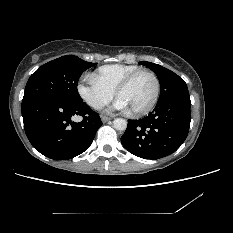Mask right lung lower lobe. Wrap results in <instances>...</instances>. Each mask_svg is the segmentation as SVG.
Listing matches in <instances>:
<instances>
[{
    "label": "right lung lower lobe",
    "mask_w": 233,
    "mask_h": 233,
    "mask_svg": "<svg viewBox=\"0 0 233 233\" xmlns=\"http://www.w3.org/2000/svg\"><path fill=\"white\" fill-rule=\"evenodd\" d=\"M74 115L82 116L83 120L72 122ZM22 116L30 143L54 160L74 158L86 151L102 125L99 114L83 101L38 99L22 105Z\"/></svg>",
    "instance_id": "obj_1"
}]
</instances>
